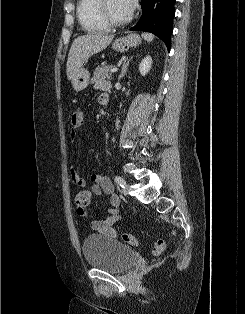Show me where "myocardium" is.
Wrapping results in <instances>:
<instances>
[{"instance_id":"1","label":"myocardium","mask_w":245,"mask_h":314,"mask_svg":"<svg viewBox=\"0 0 245 314\" xmlns=\"http://www.w3.org/2000/svg\"><path fill=\"white\" fill-rule=\"evenodd\" d=\"M104 3H105V0H97L96 13L100 21L104 25H106L108 28L123 27L132 20L133 12H131L127 18L120 21H115V20L110 19L105 12Z\"/></svg>"}]
</instances>
